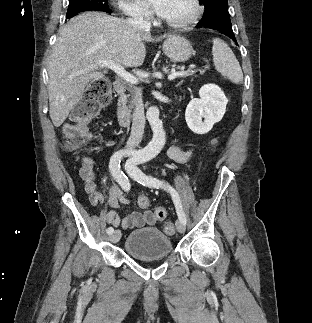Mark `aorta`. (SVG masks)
<instances>
[{
  "label": "aorta",
  "instance_id": "aorta-1",
  "mask_svg": "<svg viewBox=\"0 0 312 323\" xmlns=\"http://www.w3.org/2000/svg\"><path fill=\"white\" fill-rule=\"evenodd\" d=\"M147 120L153 132V138L147 146L149 154H159L166 142V132L163 130L162 120H159L158 108H149L147 110Z\"/></svg>",
  "mask_w": 312,
  "mask_h": 323
}]
</instances>
